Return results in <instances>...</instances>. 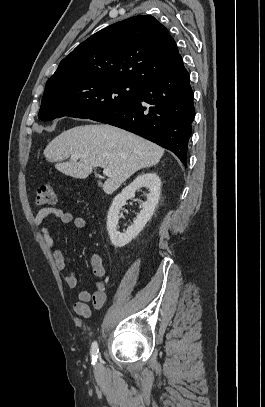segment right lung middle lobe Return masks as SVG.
Returning <instances> with one entry per match:
<instances>
[{"mask_svg": "<svg viewBox=\"0 0 265 407\" xmlns=\"http://www.w3.org/2000/svg\"><path fill=\"white\" fill-rule=\"evenodd\" d=\"M142 85L104 78L46 84L38 114L43 121L64 116L93 118L132 103Z\"/></svg>", "mask_w": 265, "mask_h": 407, "instance_id": "obj_1", "label": "right lung middle lobe"}]
</instances>
